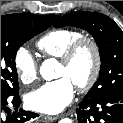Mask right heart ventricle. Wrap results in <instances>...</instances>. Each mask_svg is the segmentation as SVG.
<instances>
[{
    "label": "right heart ventricle",
    "mask_w": 123,
    "mask_h": 123,
    "mask_svg": "<svg viewBox=\"0 0 123 123\" xmlns=\"http://www.w3.org/2000/svg\"><path fill=\"white\" fill-rule=\"evenodd\" d=\"M81 33L72 29L51 30L37 42V48L46 57L61 58L67 48L79 37Z\"/></svg>",
    "instance_id": "e07e8e85"
}]
</instances>
